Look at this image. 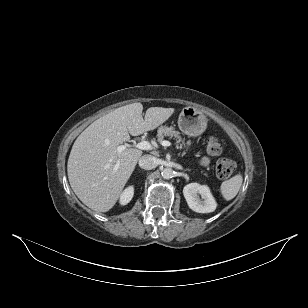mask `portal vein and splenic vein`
I'll return each instance as SVG.
<instances>
[{
    "label": "portal vein and splenic vein",
    "mask_w": 308,
    "mask_h": 308,
    "mask_svg": "<svg viewBox=\"0 0 308 308\" xmlns=\"http://www.w3.org/2000/svg\"><path fill=\"white\" fill-rule=\"evenodd\" d=\"M161 144L165 147L171 146V143L169 141H166V140L162 141ZM128 147H131V145H129V144L120 145V146L117 147V150H118L119 153H121L122 151H124ZM134 147L141 149V150H146V151H150V150L154 149V147L148 141H141V142L135 144Z\"/></svg>",
    "instance_id": "portal-vein-and-splenic-vein-1"
}]
</instances>
